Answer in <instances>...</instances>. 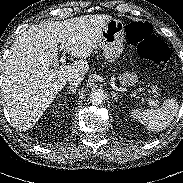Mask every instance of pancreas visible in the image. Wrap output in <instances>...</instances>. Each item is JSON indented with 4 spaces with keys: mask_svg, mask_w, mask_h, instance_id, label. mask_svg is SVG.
I'll list each match as a JSON object with an SVG mask.
<instances>
[{
    "mask_svg": "<svg viewBox=\"0 0 183 183\" xmlns=\"http://www.w3.org/2000/svg\"><path fill=\"white\" fill-rule=\"evenodd\" d=\"M157 89H158V88H157L156 86H153V87H152V90L155 91L156 93H158V92H157Z\"/></svg>",
    "mask_w": 183,
    "mask_h": 183,
    "instance_id": "pancreas-1",
    "label": "pancreas"
}]
</instances>
